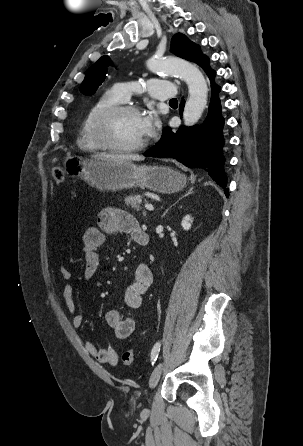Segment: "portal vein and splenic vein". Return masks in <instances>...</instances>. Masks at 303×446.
<instances>
[{"label":"portal vein and splenic vein","mask_w":303,"mask_h":446,"mask_svg":"<svg viewBox=\"0 0 303 446\" xmlns=\"http://www.w3.org/2000/svg\"><path fill=\"white\" fill-rule=\"evenodd\" d=\"M145 208H146L147 210H149V211H153V210H154L153 205H152V204H149V203H146V204H145Z\"/></svg>","instance_id":"1"}]
</instances>
